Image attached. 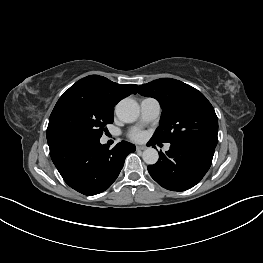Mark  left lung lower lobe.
Returning <instances> with one entry per match:
<instances>
[{"instance_id":"1","label":"left lung lower lobe","mask_w":263,"mask_h":263,"mask_svg":"<svg viewBox=\"0 0 263 263\" xmlns=\"http://www.w3.org/2000/svg\"><path fill=\"white\" fill-rule=\"evenodd\" d=\"M151 145L160 144L150 140ZM166 154L160 152L159 160L149 165L151 177L162 187L184 191L195 186L209 170L215 147L188 142H172Z\"/></svg>"}]
</instances>
